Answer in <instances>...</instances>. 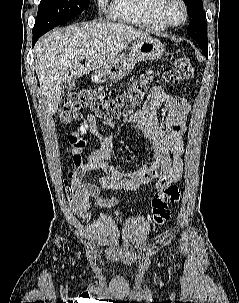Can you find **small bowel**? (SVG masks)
Masks as SVG:
<instances>
[{"mask_svg": "<svg viewBox=\"0 0 239 303\" xmlns=\"http://www.w3.org/2000/svg\"><path fill=\"white\" fill-rule=\"evenodd\" d=\"M163 104L168 105L169 114L161 125L157 111ZM187 110V103L169 95L160 84L157 83L151 88L143 110L126 118V121L135 123L143 132L151 145L153 159L129 171L118 169L111 160L116 137L101 135L97 119L92 114L84 117L69 136L73 163L76 167L75 175L80 180L88 172L99 171L101 176L97 183L85 184L76 193L72 203L73 212L82 219H89L91 197L101 207H114L117 198L101 197L102 188L135 192L141 185L154 181L155 189L158 191L177 184L183 172L181 155L184 151L182 141L184 127L181 117ZM106 124L114 128L112 122ZM89 136L95 140L98 147L95 151L87 153L84 159L83 152L90 142ZM114 214L118 215V212L115 211Z\"/></svg>", "mask_w": 239, "mask_h": 303, "instance_id": "small-bowel-1", "label": "small bowel"}]
</instances>
